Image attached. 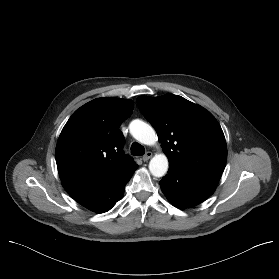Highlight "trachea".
<instances>
[{
  "label": "trachea",
  "instance_id": "1",
  "mask_svg": "<svg viewBox=\"0 0 279 279\" xmlns=\"http://www.w3.org/2000/svg\"><path fill=\"white\" fill-rule=\"evenodd\" d=\"M131 154L134 156H142L145 154V149L141 144L134 142L131 145Z\"/></svg>",
  "mask_w": 279,
  "mask_h": 279
}]
</instances>
